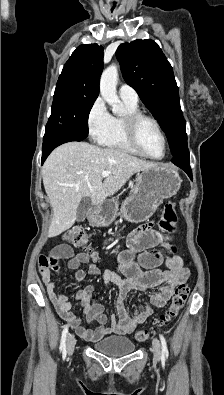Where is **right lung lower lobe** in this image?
Wrapping results in <instances>:
<instances>
[{
	"instance_id": "right-lung-lower-lobe-1",
	"label": "right lung lower lobe",
	"mask_w": 224,
	"mask_h": 395,
	"mask_svg": "<svg viewBox=\"0 0 224 395\" xmlns=\"http://www.w3.org/2000/svg\"><path fill=\"white\" fill-rule=\"evenodd\" d=\"M84 138L72 134L70 131L60 127H47L43 138L42 146V164L57 146L70 142V141H82Z\"/></svg>"
}]
</instances>
